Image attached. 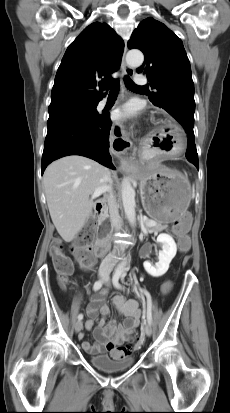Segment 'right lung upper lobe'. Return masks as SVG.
Listing matches in <instances>:
<instances>
[{
	"mask_svg": "<svg viewBox=\"0 0 230 413\" xmlns=\"http://www.w3.org/2000/svg\"><path fill=\"white\" fill-rule=\"evenodd\" d=\"M123 48V40L108 24L95 22L86 27L62 58L49 107L98 103L104 94L95 89L101 81H114L111 74L120 67Z\"/></svg>",
	"mask_w": 230,
	"mask_h": 413,
	"instance_id": "right-lung-upper-lobe-1",
	"label": "right lung upper lobe"
}]
</instances>
